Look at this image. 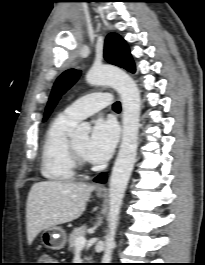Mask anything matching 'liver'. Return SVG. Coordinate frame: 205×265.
Here are the masks:
<instances>
[{"mask_svg":"<svg viewBox=\"0 0 205 265\" xmlns=\"http://www.w3.org/2000/svg\"><path fill=\"white\" fill-rule=\"evenodd\" d=\"M94 188V185L71 181L33 184L26 204L28 244L42 230L79 218Z\"/></svg>","mask_w":205,"mask_h":265,"instance_id":"1","label":"liver"}]
</instances>
